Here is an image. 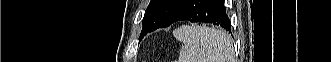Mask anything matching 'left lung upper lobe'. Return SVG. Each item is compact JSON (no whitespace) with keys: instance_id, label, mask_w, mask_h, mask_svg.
<instances>
[{"instance_id":"left-lung-upper-lobe-1","label":"left lung upper lobe","mask_w":331,"mask_h":62,"mask_svg":"<svg viewBox=\"0 0 331 62\" xmlns=\"http://www.w3.org/2000/svg\"><path fill=\"white\" fill-rule=\"evenodd\" d=\"M185 0H151L143 18V29L149 32L162 28Z\"/></svg>"}]
</instances>
